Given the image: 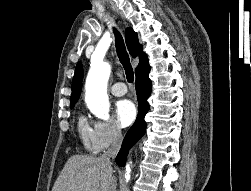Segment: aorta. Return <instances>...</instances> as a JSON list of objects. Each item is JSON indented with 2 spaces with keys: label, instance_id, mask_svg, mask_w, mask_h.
<instances>
[{
  "label": "aorta",
  "instance_id": "762f6f07",
  "mask_svg": "<svg viewBox=\"0 0 251 191\" xmlns=\"http://www.w3.org/2000/svg\"><path fill=\"white\" fill-rule=\"evenodd\" d=\"M111 74V66L103 62L102 56L93 54L90 60V70L85 84V101L91 113L100 119H109V99L107 96V82ZM131 163V161H130ZM126 177H130V167L126 165Z\"/></svg>",
  "mask_w": 251,
  "mask_h": 191
}]
</instances>
